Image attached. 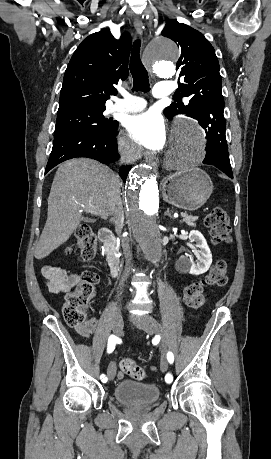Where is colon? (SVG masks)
<instances>
[{
  "instance_id": "5ec220e1",
  "label": "colon",
  "mask_w": 271,
  "mask_h": 459,
  "mask_svg": "<svg viewBox=\"0 0 271 459\" xmlns=\"http://www.w3.org/2000/svg\"><path fill=\"white\" fill-rule=\"evenodd\" d=\"M204 223L209 229L214 244L229 243L231 240L230 218L222 208H214L205 217ZM75 242L82 258L89 262L96 254L97 240L94 231L88 225H80L75 230ZM228 263L224 259L217 260L207 275L198 281L192 282L184 290L185 303L194 309L203 306L207 299V287L224 286L228 280ZM99 276L85 270L81 274L79 283L65 295L63 315L69 326L76 327L85 322L90 301L96 293ZM124 373L136 380L146 377L143 368L131 358H124L120 362Z\"/></svg>"
}]
</instances>
